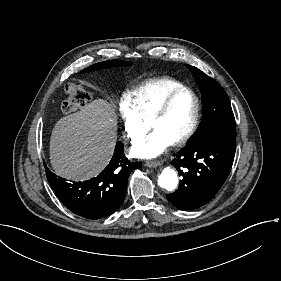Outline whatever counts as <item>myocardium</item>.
<instances>
[{"instance_id": "f54148a6", "label": "myocardium", "mask_w": 281, "mask_h": 281, "mask_svg": "<svg viewBox=\"0 0 281 281\" xmlns=\"http://www.w3.org/2000/svg\"><path fill=\"white\" fill-rule=\"evenodd\" d=\"M184 94H189L193 98L195 108L191 122L186 132L180 138L170 143V145L174 147L182 146L186 142H188L197 129L200 119L201 103L199 97L193 90L189 88H183L172 93L163 102H161L160 105L145 120L146 129L149 130L152 125L164 115V113L167 111L172 102Z\"/></svg>"}]
</instances>
